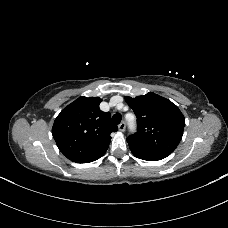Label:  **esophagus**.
<instances>
[{
    "instance_id": "1",
    "label": "esophagus",
    "mask_w": 228,
    "mask_h": 228,
    "mask_svg": "<svg viewBox=\"0 0 228 228\" xmlns=\"http://www.w3.org/2000/svg\"><path fill=\"white\" fill-rule=\"evenodd\" d=\"M125 128H126L125 122H121V123L118 125V129H119V131H121V132H124V131H125Z\"/></svg>"
}]
</instances>
